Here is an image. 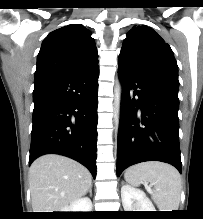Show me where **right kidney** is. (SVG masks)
Instances as JSON below:
<instances>
[{
    "mask_svg": "<svg viewBox=\"0 0 203 219\" xmlns=\"http://www.w3.org/2000/svg\"><path fill=\"white\" fill-rule=\"evenodd\" d=\"M92 202L90 198L84 197L72 202L69 206L63 208L61 212H91Z\"/></svg>",
    "mask_w": 203,
    "mask_h": 219,
    "instance_id": "1",
    "label": "right kidney"
}]
</instances>
